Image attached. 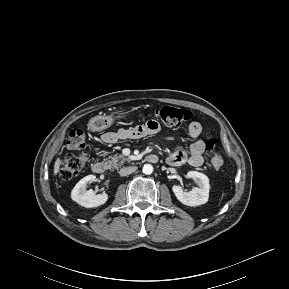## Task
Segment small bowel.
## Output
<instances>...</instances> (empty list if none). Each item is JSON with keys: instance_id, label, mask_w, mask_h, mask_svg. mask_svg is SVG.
<instances>
[{"instance_id": "obj_1", "label": "small bowel", "mask_w": 289, "mask_h": 289, "mask_svg": "<svg viewBox=\"0 0 289 289\" xmlns=\"http://www.w3.org/2000/svg\"><path fill=\"white\" fill-rule=\"evenodd\" d=\"M160 131V125L153 120H150L142 125L130 128H120L117 131L106 132L101 136L103 142L111 144L118 140L140 139L146 136H151ZM202 132V126L199 122H191L188 127V133L192 138H198ZM204 141L197 139L190 144L188 151L183 148L176 149L168 158L167 163L172 166H179L188 162L194 167H199L203 164V154L205 152Z\"/></svg>"}]
</instances>
